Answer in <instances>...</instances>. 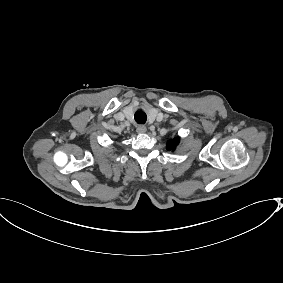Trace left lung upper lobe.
I'll return each instance as SVG.
<instances>
[{"label": "left lung upper lobe", "mask_w": 283, "mask_h": 283, "mask_svg": "<svg viewBox=\"0 0 283 283\" xmlns=\"http://www.w3.org/2000/svg\"><path fill=\"white\" fill-rule=\"evenodd\" d=\"M179 137H175L174 139L172 140H169L168 143H167V150L169 151H174L176 146L179 144Z\"/></svg>", "instance_id": "obj_1"}]
</instances>
